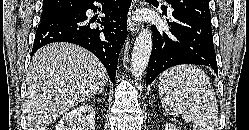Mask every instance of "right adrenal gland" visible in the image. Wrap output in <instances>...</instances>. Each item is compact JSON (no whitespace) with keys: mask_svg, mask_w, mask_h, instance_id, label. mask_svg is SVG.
Listing matches in <instances>:
<instances>
[{"mask_svg":"<svg viewBox=\"0 0 249 130\" xmlns=\"http://www.w3.org/2000/svg\"><path fill=\"white\" fill-rule=\"evenodd\" d=\"M103 91H104V89H101V90L98 92V94H101Z\"/></svg>","mask_w":249,"mask_h":130,"instance_id":"2a0ac1e0","label":"right adrenal gland"}]
</instances>
